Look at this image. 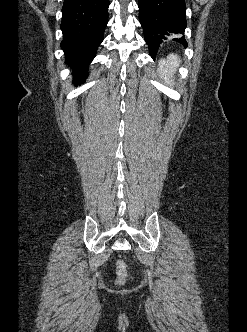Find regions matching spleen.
Masks as SVG:
<instances>
[{
  "instance_id": "3e777b00",
  "label": "spleen",
  "mask_w": 247,
  "mask_h": 332,
  "mask_svg": "<svg viewBox=\"0 0 247 332\" xmlns=\"http://www.w3.org/2000/svg\"><path fill=\"white\" fill-rule=\"evenodd\" d=\"M180 64V59L176 54H170L167 58L161 59L159 62V73L161 78L164 79L165 83L169 86H173L172 77L176 72V68Z\"/></svg>"
}]
</instances>
